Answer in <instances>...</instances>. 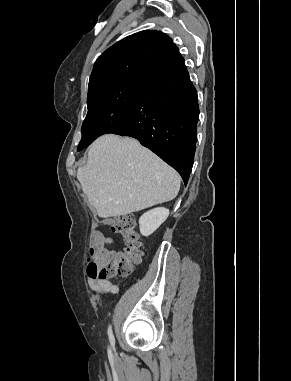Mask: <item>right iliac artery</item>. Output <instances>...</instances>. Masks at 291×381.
Instances as JSON below:
<instances>
[{"mask_svg": "<svg viewBox=\"0 0 291 381\" xmlns=\"http://www.w3.org/2000/svg\"><path fill=\"white\" fill-rule=\"evenodd\" d=\"M108 336H109V339L111 341V344L114 345L115 341H114V336H113V333H112L111 326H109V329H108Z\"/></svg>", "mask_w": 291, "mask_h": 381, "instance_id": "right-iliac-artery-1", "label": "right iliac artery"}]
</instances>
